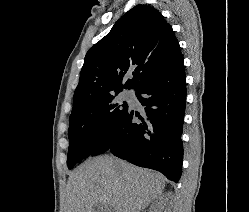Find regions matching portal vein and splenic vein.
I'll return each instance as SVG.
<instances>
[{
	"label": "portal vein and splenic vein",
	"mask_w": 249,
	"mask_h": 212,
	"mask_svg": "<svg viewBox=\"0 0 249 212\" xmlns=\"http://www.w3.org/2000/svg\"><path fill=\"white\" fill-rule=\"evenodd\" d=\"M101 210H103V212H112V208H110V206H104Z\"/></svg>",
	"instance_id": "obj_1"
}]
</instances>
